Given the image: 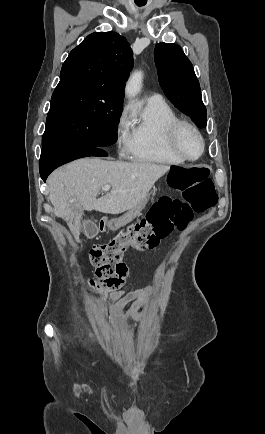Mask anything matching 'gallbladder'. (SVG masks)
<instances>
[{
	"label": "gallbladder",
	"instance_id": "gallbladder-1",
	"mask_svg": "<svg viewBox=\"0 0 265 434\" xmlns=\"http://www.w3.org/2000/svg\"><path fill=\"white\" fill-rule=\"evenodd\" d=\"M86 224H85V226H82V229H84L85 238L91 239V238H94V236H97L98 228L95 224V221L92 218H89L86 221Z\"/></svg>",
	"mask_w": 265,
	"mask_h": 434
}]
</instances>
